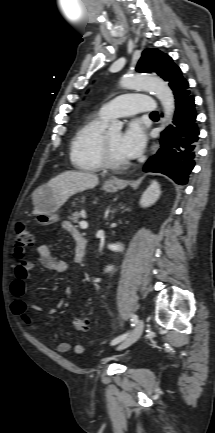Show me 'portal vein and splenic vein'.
<instances>
[{"instance_id": "obj_1", "label": "portal vein and splenic vein", "mask_w": 215, "mask_h": 433, "mask_svg": "<svg viewBox=\"0 0 215 433\" xmlns=\"http://www.w3.org/2000/svg\"><path fill=\"white\" fill-rule=\"evenodd\" d=\"M80 227L82 228V229H86V228H88V223L86 222V221H81L80 222Z\"/></svg>"}]
</instances>
